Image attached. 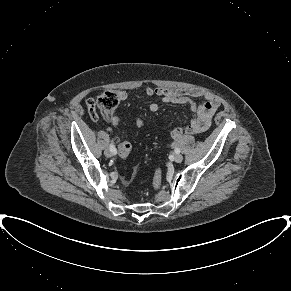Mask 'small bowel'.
<instances>
[{"mask_svg":"<svg viewBox=\"0 0 291 291\" xmlns=\"http://www.w3.org/2000/svg\"><path fill=\"white\" fill-rule=\"evenodd\" d=\"M144 93L147 96H158L163 103L172 104H189L193 112V118L190 124L186 127H179L173 130L172 136L174 140H179L184 134H199L205 132L211 125V118L213 114L220 107L219 99L212 93L199 89H169L164 87H144ZM121 100L127 98L126 92H119ZM201 98L202 103H196L193 99ZM87 107L92 119L97 120L98 114L95 109L94 100L92 98L87 99ZM159 105L157 103H151L149 110L152 113L157 112ZM104 119L112 124L117 125L119 123V117L114 111L103 112ZM123 141L119 142V146Z\"/></svg>","mask_w":291,"mask_h":291,"instance_id":"obj_1","label":"small bowel"}]
</instances>
